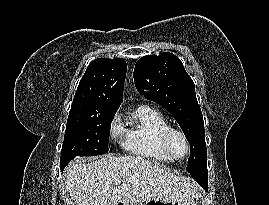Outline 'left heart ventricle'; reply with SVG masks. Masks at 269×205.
<instances>
[{"mask_svg": "<svg viewBox=\"0 0 269 205\" xmlns=\"http://www.w3.org/2000/svg\"><path fill=\"white\" fill-rule=\"evenodd\" d=\"M170 148L172 152L178 157H182L186 153V144L183 138L176 133L173 134L170 138Z\"/></svg>", "mask_w": 269, "mask_h": 205, "instance_id": "left-heart-ventricle-1", "label": "left heart ventricle"}]
</instances>
